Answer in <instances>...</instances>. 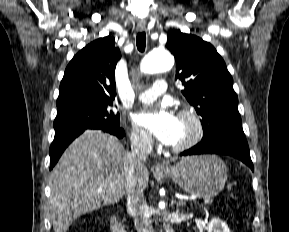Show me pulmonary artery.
<instances>
[{
	"mask_svg": "<svg viewBox=\"0 0 289 232\" xmlns=\"http://www.w3.org/2000/svg\"><path fill=\"white\" fill-rule=\"evenodd\" d=\"M167 90V83L163 79H158L153 84L152 88L141 92L138 95V100L143 103H149L156 100L159 96L164 94Z\"/></svg>",
	"mask_w": 289,
	"mask_h": 232,
	"instance_id": "e3ab8cb5",
	"label": "pulmonary artery"
}]
</instances>
